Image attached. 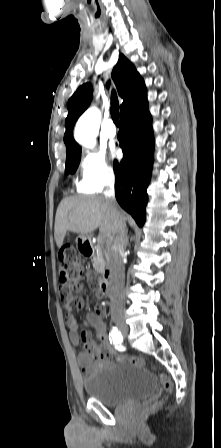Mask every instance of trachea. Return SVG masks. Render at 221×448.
Returning a JSON list of instances; mask_svg holds the SVG:
<instances>
[{
    "instance_id": "3493384b",
    "label": "trachea",
    "mask_w": 221,
    "mask_h": 448,
    "mask_svg": "<svg viewBox=\"0 0 221 448\" xmlns=\"http://www.w3.org/2000/svg\"><path fill=\"white\" fill-rule=\"evenodd\" d=\"M110 112H111V117L113 119V122L116 125H119V102H118V98L116 95L115 91H112V95H111V108H110Z\"/></svg>"
}]
</instances>
